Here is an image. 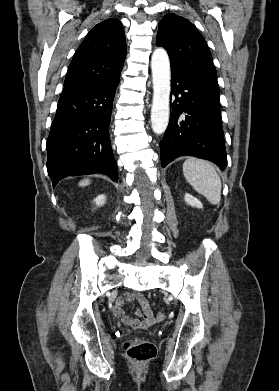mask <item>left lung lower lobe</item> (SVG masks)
I'll return each instance as SVG.
<instances>
[{"instance_id": "1", "label": "left lung lower lobe", "mask_w": 279, "mask_h": 391, "mask_svg": "<svg viewBox=\"0 0 279 391\" xmlns=\"http://www.w3.org/2000/svg\"><path fill=\"white\" fill-rule=\"evenodd\" d=\"M170 121L160 142L161 164L189 155L227 165L220 98L202 83L171 71Z\"/></svg>"}]
</instances>
